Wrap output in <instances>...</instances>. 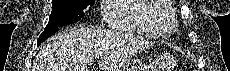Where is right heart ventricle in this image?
Instances as JSON below:
<instances>
[{
    "instance_id": "obj_1",
    "label": "right heart ventricle",
    "mask_w": 230,
    "mask_h": 71,
    "mask_svg": "<svg viewBox=\"0 0 230 71\" xmlns=\"http://www.w3.org/2000/svg\"><path fill=\"white\" fill-rule=\"evenodd\" d=\"M112 29L149 36H166L173 32V7L168 0H122L107 6Z\"/></svg>"
}]
</instances>
